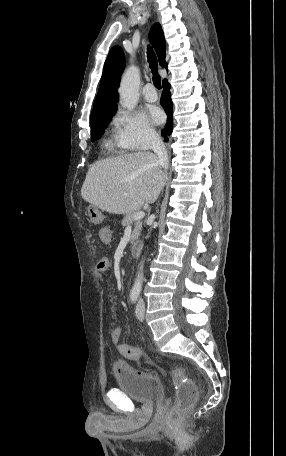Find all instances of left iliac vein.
<instances>
[{"label": "left iliac vein", "instance_id": "1", "mask_svg": "<svg viewBox=\"0 0 286 456\" xmlns=\"http://www.w3.org/2000/svg\"><path fill=\"white\" fill-rule=\"evenodd\" d=\"M136 316L138 319H143L145 315V303L143 299H139L136 305Z\"/></svg>", "mask_w": 286, "mask_h": 456}]
</instances>
